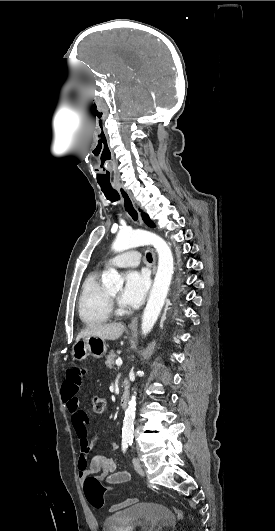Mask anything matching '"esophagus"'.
Returning a JSON list of instances; mask_svg holds the SVG:
<instances>
[{
    "label": "esophagus",
    "mask_w": 275,
    "mask_h": 531,
    "mask_svg": "<svg viewBox=\"0 0 275 531\" xmlns=\"http://www.w3.org/2000/svg\"><path fill=\"white\" fill-rule=\"evenodd\" d=\"M115 188L117 189L118 193L120 194V197H121V200H122V204H123V208H124L125 213L127 214V216L131 219V221H133V223L138 224V225H142V219H141L140 213H139L138 209L136 208V206H135L130 194L126 190V188L123 185H121V184L120 185H116ZM155 269L156 268L154 267L153 268V273L155 272ZM137 324H138V317L136 316L130 322L129 327L130 328H137Z\"/></svg>",
    "instance_id": "34e87169"
}]
</instances>
